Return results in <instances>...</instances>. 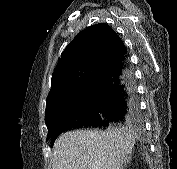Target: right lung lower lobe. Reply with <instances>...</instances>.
<instances>
[{
  "label": "right lung lower lobe",
  "instance_id": "obj_1",
  "mask_svg": "<svg viewBox=\"0 0 177 169\" xmlns=\"http://www.w3.org/2000/svg\"><path fill=\"white\" fill-rule=\"evenodd\" d=\"M91 82L94 91L89 104L58 126L51 144L62 132L72 128L107 127L140 117L135 76L127 52L100 70Z\"/></svg>",
  "mask_w": 177,
  "mask_h": 169
}]
</instances>
